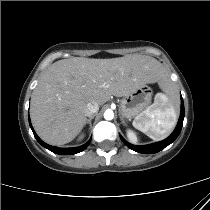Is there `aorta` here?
Returning a JSON list of instances; mask_svg holds the SVG:
<instances>
[{
  "label": "aorta",
  "instance_id": "762f6f07",
  "mask_svg": "<svg viewBox=\"0 0 210 210\" xmlns=\"http://www.w3.org/2000/svg\"><path fill=\"white\" fill-rule=\"evenodd\" d=\"M113 117H114V113H113L112 110L108 109V110H106V111L104 112V118H105L106 120H112Z\"/></svg>",
  "mask_w": 210,
  "mask_h": 210
}]
</instances>
